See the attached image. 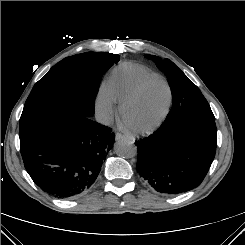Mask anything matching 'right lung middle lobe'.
<instances>
[{
  "instance_id": "obj_1",
  "label": "right lung middle lobe",
  "mask_w": 245,
  "mask_h": 245,
  "mask_svg": "<svg viewBox=\"0 0 245 245\" xmlns=\"http://www.w3.org/2000/svg\"><path fill=\"white\" fill-rule=\"evenodd\" d=\"M84 57L99 61L100 75L92 76L80 64ZM119 59L117 54L86 52L67 57L54 65L34 85L26 100L20 118V139L59 119L91 117L94 114V101L101 76Z\"/></svg>"
}]
</instances>
